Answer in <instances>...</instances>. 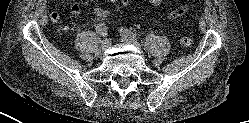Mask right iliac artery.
I'll return each mask as SVG.
<instances>
[{"instance_id":"obj_1","label":"right iliac artery","mask_w":249,"mask_h":123,"mask_svg":"<svg viewBox=\"0 0 249 123\" xmlns=\"http://www.w3.org/2000/svg\"><path fill=\"white\" fill-rule=\"evenodd\" d=\"M96 30L99 33V35L103 37H106L108 35L107 26L104 23H99L96 26Z\"/></svg>"}]
</instances>
